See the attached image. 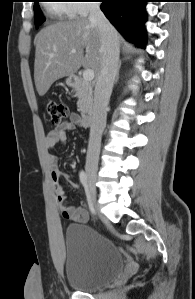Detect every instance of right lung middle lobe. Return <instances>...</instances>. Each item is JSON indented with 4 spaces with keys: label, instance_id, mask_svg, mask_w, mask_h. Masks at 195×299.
Returning a JSON list of instances; mask_svg holds the SVG:
<instances>
[{
    "label": "right lung middle lobe",
    "instance_id": "obj_1",
    "mask_svg": "<svg viewBox=\"0 0 195 299\" xmlns=\"http://www.w3.org/2000/svg\"><path fill=\"white\" fill-rule=\"evenodd\" d=\"M34 18H35V26L36 28L44 21L42 17L40 8L38 6V0L34 1Z\"/></svg>",
    "mask_w": 195,
    "mask_h": 299
}]
</instances>
